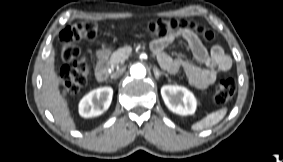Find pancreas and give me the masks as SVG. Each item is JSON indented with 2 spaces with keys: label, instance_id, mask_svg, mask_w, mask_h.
Segmentation results:
<instances>
[{
  "label": "pancreas",
  "instance_id": "1",
  "mask_svg": "<svg viewBox=\"0 0 283 162\" xmlns=\"http://www.w3.org/2000/svg\"><path fill=\"white\" fill-rule=\"evenodd\" d=\"M131 51L132 48L130 46H124L116 50L110 58L111 66L116 67L119 64H123L124 61L130 56Z\"/></svg>",
  "mask_w": 283,
  "mask_h": 162
}]
</instances>
